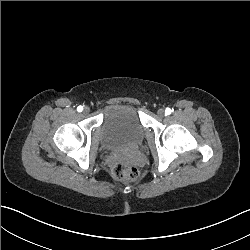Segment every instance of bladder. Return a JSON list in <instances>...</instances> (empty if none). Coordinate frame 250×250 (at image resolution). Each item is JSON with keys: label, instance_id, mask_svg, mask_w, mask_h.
Returning <instances> with one entry per match:
<instances>
[{"label": "bladder", "instance_id": "31cf9c89", "mask_svg": "<svg viewBox=\"0 0 250 250\" xmlns=\"http://www.w3.org/2000/svg\"><path fill=\"white\" fill-rule=\"evenodd\" d=\"M145 137L137 109L124 103L106 106L97 129L99 148L107 153L138 149Z\"/></svg>", "mask_w": 250, "mask_h": 250}]
</instances>
